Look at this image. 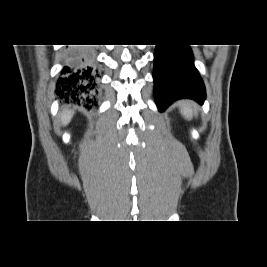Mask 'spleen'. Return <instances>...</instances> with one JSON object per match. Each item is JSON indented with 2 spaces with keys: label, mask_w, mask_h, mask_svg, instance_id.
I'll return each instance as SVG.
<instances>
[{
  "label": "spleen",
  "mask_w": 267,
  "mask_h": 267,
  "mask_svg": "<svg viewBox=\"0 0 267 267\" xmlns=\"http://www.w3.org/2000/svg\"><path fill=\"white\" fill-rule=\"evenodd\" d=\"M180 111L181 114L188 120L192 119L194 115H197V110L196 108L193 107L192 102L185 101V102H180Z\"/></svg>",
  "instance_id": "1"
}]
</instances>
